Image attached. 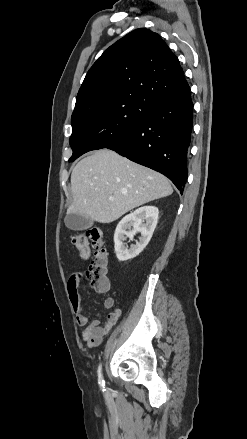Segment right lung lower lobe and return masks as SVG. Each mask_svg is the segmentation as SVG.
I'll use <instances>...</instances> for the list:
<instances>
[{
	"instance_id": "1",
	"label": "right lung lower lobe",
	"mask_w": 247,
	"mask_h": 439,
	"mask_svg": "<svg viewBox=\"0 0 247 439\" xmlns=\"http://www.w3.org/2000/svg\"><path fill=\"white\" fill-rule=\"evenodd\" d=\"M192 113L190 89L162 98L148 107L133 130L107 148L164 174L182 190L187 179Z\"/></svg>"
}]
</instances>
